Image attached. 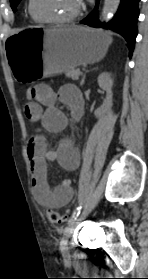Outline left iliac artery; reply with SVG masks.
<instances>
[{
  "label": "left iliac artery",
  "instance_id": "44dca946",
  "mask_svg": "<svg viewBox=\"0 0 148 279\" xmlns=\"http://www.w3.org/2000/svg\"><path fill=\"white\" fill-rule=\"evenodd\" d=\"M81 209H82V206L80 205V206H78V207L74 210V212H73V214H72V216H71V218H70V220H69V223H70L71 221L75 220V219L79 216V214H80V212H81Z\"/></svg>",
  "mask_w": 148,
  "mask_h": 279
}]
</instances>
